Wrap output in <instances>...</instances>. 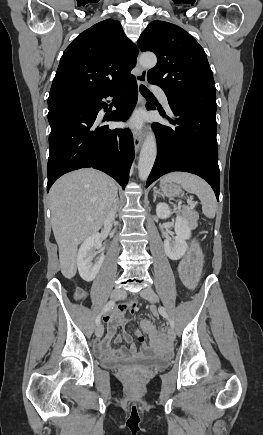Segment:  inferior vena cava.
<instances>
[{
  "label": "inferior vena cava",
  "instance_id": "602c4592",
  "mask_svg": "<svg viewBox=\"0 0 263 435\" xmlns=\"http://www.w3.org/2000/svg\"><path fill=\"white\" fill-rule=\"evenodd\" d=\"M116 211H117V202L112 205L105 222L107 223L113 222L116 216Z\"/></svg>",
  "mask_w": 263,
  "mask_h": 435
}]
</instances>
